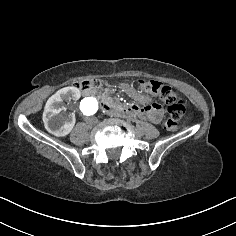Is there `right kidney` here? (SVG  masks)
I'll list each match as a JSON object with an SVG mask.
<instances>
[{"mask_svg": "<svg viewBox=\"0 0 236 236\" xmlns=\"http://www.w3.org/2000/svg\"><path fill=\"white\" fill-rule=\"evenodd\" d=\"M65 95L75 99L81 96L79 89L76 87L63 88L52 95L50 101H48L43 109L44 128L49 134L55 137L68 136L76 124L74 115L66 118L65 114L60 110L67 101Z\"/></svg>", "mask_w": 236, "mask_h": 236, "instance_id": "obj_1", "label": "right kidney"}]
</instances>
